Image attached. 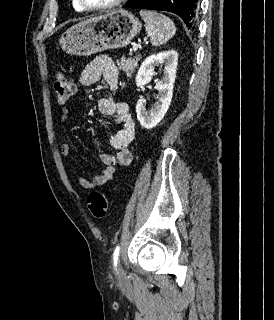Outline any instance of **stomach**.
<instances>
[{
	"instance_id": "obj_1",
	"label": "stomach",
	"mask_w": 274,
	"mask_h": 320,
	"mask_svg": "<svg viewBox=\"0 0 274 320\" xmlns=\"http://www.w3.org/2000/svg\"><path fill=\"white\" fill-rule=\"evenodd\" d=\"M141 28V22L133 14L116 10L75 24L62 34L60 44L70 56H92L104 50L126 48Z\"/></svg>"
}]
</instances>
